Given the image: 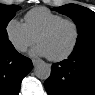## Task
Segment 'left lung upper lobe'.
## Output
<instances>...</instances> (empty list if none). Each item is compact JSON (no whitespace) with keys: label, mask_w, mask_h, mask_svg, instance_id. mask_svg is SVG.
<instances>
[{"label":"left lung upper lobe","mask_w":95,"mask_h":95,"mask_svg":"<svg viewBox=\"0 0 95 95\" xmlns=\"http://www.w3.org/2000/svg\"><path fill=\"white\" fill-rule=\"evenodd\" d=\"M58 12L71 17L78 28V38L74 49L95 41V13L77 4H67L56 8Z\"/></svg>","instance_id":"left-lung-upper-lobe-1"}]
</instances>
